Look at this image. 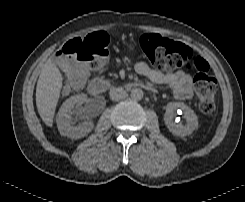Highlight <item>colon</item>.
<instances>
[{
  "label": "colon",
  "instance_id": "1",
  "mask_svg": "<svg viewBox=\"0 0 245 202\" xmlns=\"http://www.w3.org/2000/svg\"><path fill=\"white\" fill-rule=\"evenodd\" d=\"M110 38L98 32L87 39H72L62 45L56 55L64 63L63 78L77 86L81 81L80 60L94 69L102 67L109 58ZM138 45L144 57L159 71L170 72L187 68L195 73V94L199 110L211 114L215 109L216 81L209 74L205 61L197 59L185 43L164 40L152 34H142Z\"/></svg>",
  "mask_w": 245,
  "mask_h": 202
}]
</instances>
